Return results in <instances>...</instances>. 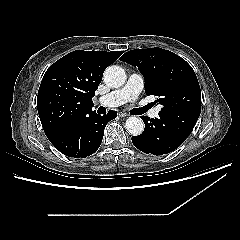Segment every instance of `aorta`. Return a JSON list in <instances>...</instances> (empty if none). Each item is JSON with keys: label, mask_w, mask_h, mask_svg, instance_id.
<instances>
[{"label": "aorta", "mask_w": 240, "mask_h": 240, "mask_svg": "<svg viewBox=\"0 0 240 240\" xmlns=\"http://www.w3.org/2000/svg\"><path fill=\"white\" fill-rule=\"evenodd\" d=\"M103 80L108 87L118 88L124 85L126 74L120 66H109L104 72ZM125 128L129 134L138 136L144 131V122L139 117L131 116L126 120Z\"/></svg>", "instance_id": "obj_1"}]
</instances>
